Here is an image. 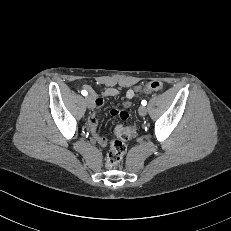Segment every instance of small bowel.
<instances>
[{
    "instance_id": "small-bowel-1",
    "label": "small bowel",
    "mask_w": 231,
    "mask_h": 231,
    "mask_svg": "<svg viewBox=\"0 0 231 231\" xmlns=\"http://www.w3.org/2000/svg\"><path fill=\"white\" fill-rule=\"evenodd\" d=\"M82 88H83V90L88 91L91 94V96L94 100V107H96V108H99L104 104L105 98L117 97V96H122L126 100L124 106L127 107L129 105V101L134 97V90H132V89L121 90V89L115 88V87H108V88L104 89L102 92L97 93L88 84L83 85ZM122 112H126V111L125 110H119V109H112L110 111V114L114 117H117V116L120 117V114ZM88 126H89L90 132L92 133L93 137L98 142V144L105 146L108 141L105 137H103L99 134L98 126H97V120H96L94 113H92L89 117Z\"/></svg>"
}]
</instances>
